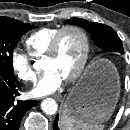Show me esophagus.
Masks as SVG:
<instances>
[{"mask_svg":"<svg viewBox=\"0 0 130 130\" xmlns=\"http://www.w3.org/2000/svg\"><path fill=\"white\" fill-rule=\"evenodd\" d=\"M53 98L56 99V100L59 101V102L63 101V96L60 95V94L54 95Z\"/></svg>","mask_w":130,"mask_h":130,"instance_id":"obj_1","label":"esophagus"}]
</instances>
